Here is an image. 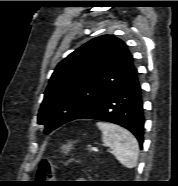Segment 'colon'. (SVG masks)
I'll use <instances>...</instances> for the list:
<instances>
[{"label": "colon", "instance_id": "5ec220e1", "mask_svg": "<svg viewBox=\"0 0 178 186\" xmlns=\"http://www.w3.org/2000/svg\"><path fill=\"white\" fill-rule=\"evenodd\" d=\"M54 161L51 158H46L40 161L36 177L43 182H52L54 179Z\"/></svg>", "mask_w": 178, "mask_h": 186}]
</instances>
